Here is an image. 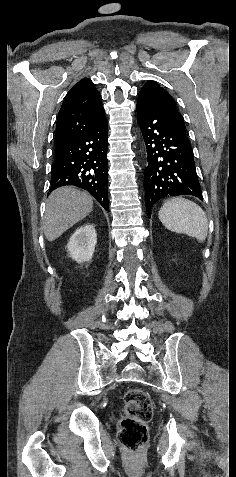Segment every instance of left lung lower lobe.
Returning a JSON list of instances; mask_svg holds the SVG:
<instances>
[{
  "label": "left lung lower lobe",
  "mask_w": 236,
  "mask_h": 477,
  "mask_svg": "<svg viewBox=\"0 0 236 477\" xmlns=\"http://www.w3.org/2000/svg\"><path fill=\"white\" fill-rule=\"evenodd\" d=\"M137 122L148 155L143 184L148 217L153 205L166 197L193 195L203 199L186 133L165 117L144 93L138 95Z\"/></svg>",
  "instance_id": "1"
}]
</instances>
